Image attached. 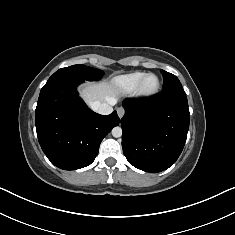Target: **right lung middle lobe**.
<instances>
[{
	"label": "right lung middle lobe",
	"instance_id": "right-lung-middle-lobe-1",
	"mask_svg": "<svg viewBox=\"0 0 235 235\" xmlns=\"http://www.w3.org/2000/svg\"><path fill=\"white\" fill-rule=\"evenodd\" d=\"M103 75L104 72L102 70L78 64L59 69L49 78L48 81L59 78H79L84 81H93L101 79Z\"/></svg>",
	"mask_w": 235,
	"mask_h": 235
}]
</instances>
